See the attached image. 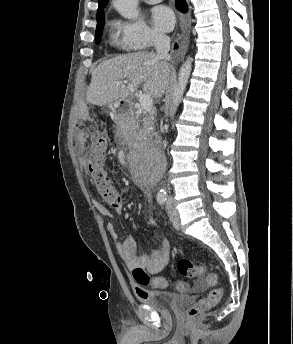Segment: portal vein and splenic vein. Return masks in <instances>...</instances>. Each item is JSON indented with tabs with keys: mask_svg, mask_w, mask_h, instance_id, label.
<instances>
[{
	"mask_svg": "<svg viewBox=\"0 0 293 344\" xmlns=\"http://www.w3.org/2000/svg\"><path fill=\"white\" fill-rule=\"evenodd\" d=\"M117 85L120 84H126L127 81L121 82V81H116L115 82ZM139 103L142 109H144L145 111H150L153 107V100L151 98L150 95L148 94H142L139 98Z\"/></svg>",
	"mask_w": 293,
	"mask_h": 344,
	"instance_id": "portal-vein-and-splenic-vein-1",
	"label": "portal vein and splenic vein"
}]
</instances>
